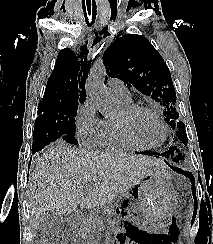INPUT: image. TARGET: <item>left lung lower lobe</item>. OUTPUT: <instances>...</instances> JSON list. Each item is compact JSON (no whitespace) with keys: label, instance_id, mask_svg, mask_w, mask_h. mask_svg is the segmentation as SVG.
I'll use <instances>...</instances> for the list:
<instances>
[{"label":"left lung lower lobe","instance_id":"left-lung-lower-lobe-1","mask_svg":"<svg viewBox=\"0 0 213 244\" xmlns=\"http://www.w3.org/2000/svg\"><path fill=\"white\" fill-rule=\"evenodd\" d=\"M143 154H146V155H156V156L157 155H160V154H157V153H154V152H151V151H145ZM161 156L162 157H165V158H169V157H173L174 155L172 153V150L170 149L168 154L167 153H164V154H161ZM173 161H174V159H173ZM177 170L179 172H181L182 174L186 175L190 179L191 184H192V192L194 194V199H195V202H196L195 179H194L193 175L190 172H188V171H183V170L178 169V168H177ZM195 202H194V204H195ZM124 205H125V203H124Z\"/></svg>","mask_w":213,"mask_h":244}]
</instances>
